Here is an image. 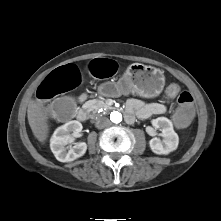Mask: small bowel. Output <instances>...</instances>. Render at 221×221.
Instances as JSON below:
<instances>
[{"mask_svg":"<svg viewBox=\"0 0 221 221\" xmlns=\"http://www.w3.org/2000/svg\"><path fill=\"white\" fill-rule=\"evenodd\" d=\"M87 98L86 94L79 96L78 101L83 102ZM167 111L164 104L161 103H146L139 99H130L127 103V112L133 115V112L141 119L149 118L153 115H161Z\"/></svg>","mask_w":221,"mask_h":221,"instance_id":"obj_1","label":"small bowel"}]
</instances>
